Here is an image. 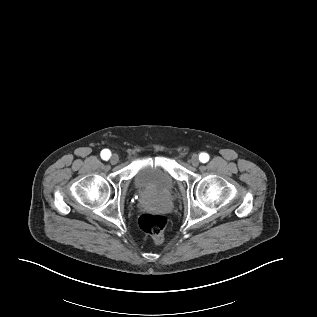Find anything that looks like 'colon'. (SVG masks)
Returning a JSON list of instances; mask_svg holds the SVG:
<instances>
[{
    "label": "colon",
    "instance_id": "obj_1",
    "mask_svg": "<svg viewBox=\"0 0 317 317\" xmlns=\"http://www.w3.org/2000/svg\"><path fill=\"white\" fill-rule=\"evenodd\" d=\"M138 223L140 229L150 235L156 244L162 242L167 224V218L164 215L145 213L139 217Z\"/></svg>",
    "mask_w": 317,
    "mask_h": 317
}]
</instances>
